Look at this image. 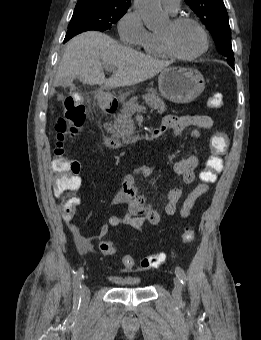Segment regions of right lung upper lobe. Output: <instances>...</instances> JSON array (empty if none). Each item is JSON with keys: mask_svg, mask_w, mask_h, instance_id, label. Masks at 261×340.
I'll list each match as a JSON object with an SVG mask.
<instances>
[{"mask_svg": "<svg viewBox=\"0 0 261 340\" xmlns=\"http://www.w3.org/2000/svg\"><path fill=\"white\" fill-rule=\"evenodd\" d=\"M81 3H95L103 5H118V6H128L130 5V0H78L77 4Z\"/></svg>", "mask_w": 261, "mask_h": 340, "instance_id": "cb5924a9", "label": "right lung upper lobe"}]
</instances>
